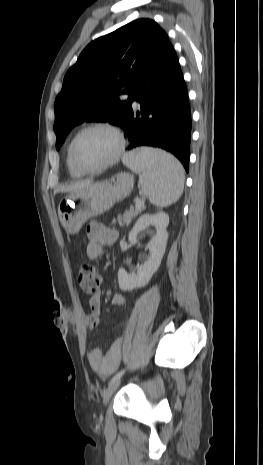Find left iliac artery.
Wrapping results in <instances>:
<instances>
[{
	"label": "left iliac artery",
	"mask_w": 263,
	"mask_h": 465,
	"mask_svg": "<svg viewBox=\"0 0 263 465\" xmlns=\"http://www.w3.org/2000/svg\"><path fill=\"white\" fill-rule=\"evenodd\" d=\"M124 372H125V369H123V370L119 371L118 373H116L113 376V378L111 379L110 383L117 380V379H119L124 374Z\"/></svg>",
	"instance_id": "left-iliac-artery-1"
}]
</instances>
